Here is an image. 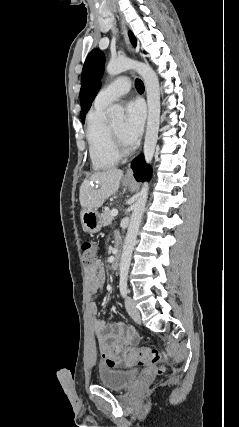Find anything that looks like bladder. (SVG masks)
Instances as JSON below:
<instances>
[{
	"label": "bladder",
	"instance_id": "obj_1",
	"mask_svg": "<svg viewBox=\"0 0 239 427\" xmlns=\"http://www.w3.org/2000/svg\"><path fill=\"white\" fill-rule=\"evenodd\" d=\"M138 370H122L101 367L98 372L99 383L110 389H125L135 383Z\"/></svg>",
	"mask_w": 239,
	"mask_h": 427
}]
</instances>
